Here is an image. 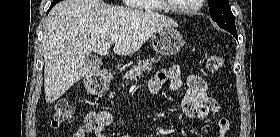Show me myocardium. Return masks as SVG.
<instances>
[{"mask_svg":"<svg viewBox=\"0 0 280 137\" xmlns=\"http://www.w3.org/2000/svg\"><path fill=\"white\" fill-rule=\"evenodd\" d=\"M203 6V0H198L197 4L193 7H189V8H176L167 4H164V7L173 12V13H177V14H192L195 13L197 11H199Z\"/></svg>","mask_w":280,"mask_h":137,"instance_id":"myocardium-1","label":"myocardium"}]
</instances>
